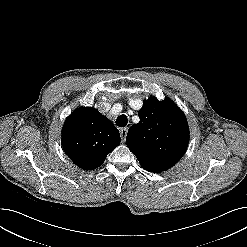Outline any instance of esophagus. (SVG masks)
Instances as JSON below:
<instances>
[{"label": "esophagus", "mask_w": 247, "mask_h": 247, "mask_svg": "<svg viewBox=\"0 0 247 247\" xmlns=\"http://www.w3.org/2000/svg\"><path fill=\"white\" fill-rule=\"evenodd\" d=\"M127 132H128V127H124L120 129V135H121V139L124 142L125 138L127 136Z\"/></svg>", "instance_id": "34e87169"}]
</instances>
